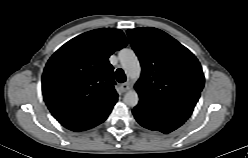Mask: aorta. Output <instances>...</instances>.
I'll list each match as a JSON object with an SVG mask.
<instances>
[{"label":"aorta","instance_id":"762f6f07","mask_svg":"<svg viewBox=\"0 0 248 158\" xmlns=\"http://www.w3.org/2000/svg\"><path fill=\"white\" fill-rule=\"evenodd\" d=\"M119 59L125 74L132 80H137L141 74V66L134 51L122 49L119 52ZM124 102L128 106H136L139 102L138 93L134 89L129 90L124 96Z\"/></svg>","mask_w":248,"mask_h":158}]
</instances>
